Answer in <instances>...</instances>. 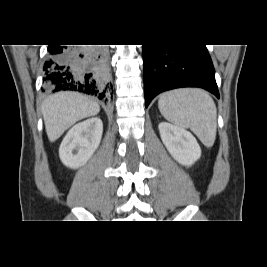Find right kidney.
<instances>
[{"label": "right kidney", "instance_id": "obj_1", "mask_svg": "<svg viewBox=\"0 0 267 267\" xmlns=\"http://www.w3.org/2000/svg\"><path fill=\"white\" fill-rule=\"evenodd\" d=\"M102 132L103 124L98 117L87 119L73 126L59 148L62 163L72 169L83 166L98 148Z\"/></svg>", "mask_w": 267, "mask_h": 267}]
</instances>
